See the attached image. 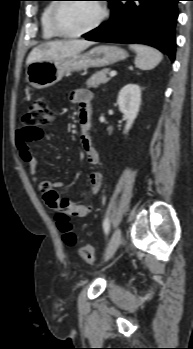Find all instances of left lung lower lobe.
I'll list each match as a JSON object with an SVG mask.
<instances>
[{
  "mask_svg": "<svg viewBox=\"0 0 193 349\" xmlns=\"http://www.w3.org/2000/svg\"><path fill=\"white\" fill-rule=\"evenodd\" d=\"M179 0H109L111 18L83 37L91 41L142 43L175 59Z\"/></svg>",
  "mask_w": 193,
  "mask_h": 349,
  "instance_id": "0a47b994",
  "label": "left lung lower lobe"
}]
</instances>
